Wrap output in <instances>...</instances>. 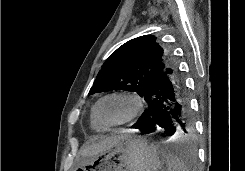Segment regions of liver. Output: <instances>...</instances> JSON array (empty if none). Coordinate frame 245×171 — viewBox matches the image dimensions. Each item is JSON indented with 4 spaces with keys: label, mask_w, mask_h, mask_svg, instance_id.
Masks as SVG:
<instances>
[{
    "label": "liver",
    "mask_w": 245,
    "mask_h": 171,
    "mask_svg": "<svg viewBox=\"0 0 245 171\" xmlns=\"http://www.w3.org/2000/svg\"><path fill=\"white\" fill-rule=\"evenodd\" d=\"M122 137L123 135L111 136V137L103 138L98 142H93L91 145L83 148L79 152V156L81 157L96 156L97 154L112 148Z\"/></svg>",
    "instance_id": "obj_1"
}]
</instances>
